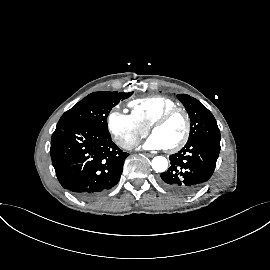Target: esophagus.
Instances as JSON below:
<instances>
[{
  "label": "esophagus",
  "mask_w": 270,
  "mask_h": 270,
  "mask_svg": "<svg viewBox=\"0 0 270 270\" xmlns=\"http://www.w3.org/2000/svg\"><path fill=\"white\" fill-rule=\"evenodd\" d=\"M144 156L149 157V158L154 157V155H153V154H151V153H144Z\"/></svg>",
  "instance_id": "34e87169"
}]
</instances>
